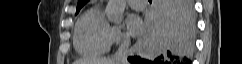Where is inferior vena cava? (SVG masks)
<instances>
[{
  "label": "inferior vena cava",
  "instance_id": "inferior-vena-cava-1",
  "mask_svg": "<svg viewBox=\"0 0 242 64\" xmlns=\"http://www.w3.org/2000/svg\"><path fill=\"white\" fill-rule=\"evenodd\" d=\"M129 45V39L127 37H124L122 43L120 44L119 48L117 49L114 55V60L117 64H128L127 53Z\"/></svg>",
  "mask_w": 242,
  "mask_h": 64
}]
</instances>
